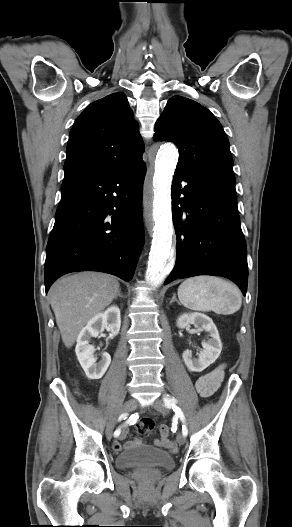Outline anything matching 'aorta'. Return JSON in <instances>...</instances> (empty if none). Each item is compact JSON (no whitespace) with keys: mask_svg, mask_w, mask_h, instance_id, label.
<instances>
[{"mask_svg":"<svg viewBox=\"0 0 292 527\" xmlns=\"http://www.w3.org/2000/svg\"><path fill=\"white\" fill-rule=\"evenodd\" d=\"M178 161V150L173 145H164L158 150L155 172L150 184L153 198V239L149 253L147 274L154 285H159L172 270L169 257L172 248L173 224L171 214V184Z\"/></svg>","mask_w":292,"mask_h":527,"instance_id":"762f6f07","label":"aorta"}]
</instances>
